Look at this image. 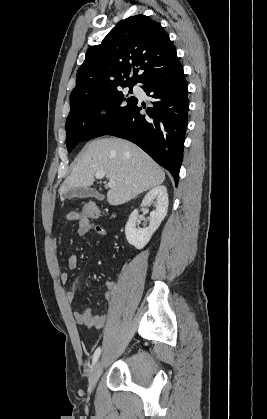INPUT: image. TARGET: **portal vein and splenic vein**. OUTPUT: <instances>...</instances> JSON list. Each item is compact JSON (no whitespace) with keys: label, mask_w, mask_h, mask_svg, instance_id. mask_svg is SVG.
Masks as SVG:
<instances>
[{"label":"portal vein and splenic vein","mask_w":267,"mask_h":419,"mask_svg":"<svg viewBox=\"0 0 267 419\" xmlns=\"http://www.w3.org/2000/svg\"><path fill=\"white\" fill-rule=\"evenodd\" d=\"M104 176H105V173H104L103 171L97 172V173L95 174V177H96L97 179H101V178H103ZM108 186H109V188H114V187H115V182H114V181H110V182L108 183Z\"/></svg>","instance_id":"1"}]
</instances>
